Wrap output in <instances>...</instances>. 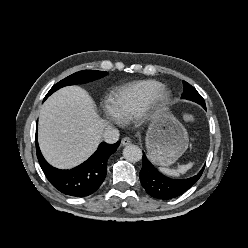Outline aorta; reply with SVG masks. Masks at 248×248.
<instances>
[{
  "mask_svg": "<svg viewBox=\"0 0 248 248\" xmlns=\"http://www.w3.org/2000/svg\"><path fill=\"white\" fill-rule=\"evenodd\" d=\"M123 157L129 162H138L142 158V150L136 145H127L123 149Z\"/></svg>",
  "mask_w": 248,
  "mask_h": 248,
  "instance_id": "762f6f07",
  "label": "aorta"
}]
</instances>
